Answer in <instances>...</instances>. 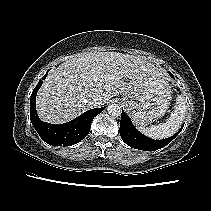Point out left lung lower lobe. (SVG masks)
I'll use <instances>...</instances> for the list:
<instances>
[{"instance_id":"obj_1","label":"left lung lower lobe","mask_w":211,"mask_h":211,"mask_svg":"<svg viewBox=\"0 0 211 211\" xmlns=\"http://www.w3.org/2000/svg\"><path fill=\"white\" fill-rule=\"evenodd\" d=\"M183 126L184 124L175 135L167 139L154 140L141 134L138 130H136V128L132 125L129 117L122 110L120 121V136L123 141L132 148L144 151H153L163 148L167 144H169L180 133Z\"/></svg>"}]
</instances>
